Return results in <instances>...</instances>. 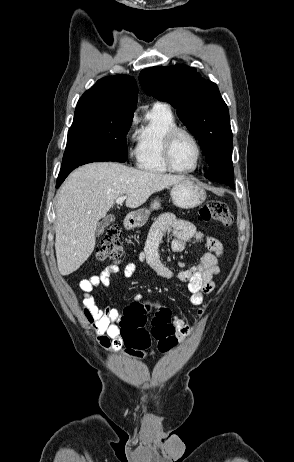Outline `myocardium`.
I'll use <instances>...</instances> for the list:
<instances>
[{
	"instance_id": "obj_1",
	"label": "myocardium",
	"mask_w": 294,
	"mask_h": 462,
	"mask_svg": "<svg viewBox=\"0 0 294 462\" xmlns=\"http://www.w3.org/2000/svg\"><path fill=\"white\" fill-rule=\"evenodd\" d=\"M180 135H186L187 137H189L194 143L196 150H197L196 162L194 166L189 169H180L176 167L172 160V148H173L176 138ZM202 155H203V150H202L199 140L189 130L181 128V127H175L166 133L164 140H163L162 156H163V161L166 167L170 171L175 172V173H181V174L192 173L195 170H197V168L199 167L201 160H202Z\"/></svg>"
}]
</instances>
